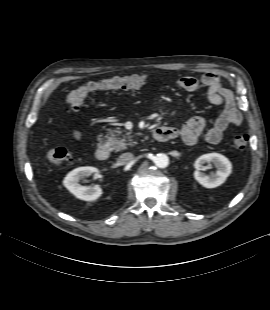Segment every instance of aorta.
Returning a JSON list of instances; mask_svg holds the SVG:
<instances>
[{
  "mask_svg": "<svg viewBox=\"0 0 270 310\" xmlns=\"http://www.w3.org/2000/svg\"><path fill=\"white\" fill-rule=\"evenodd\" d=\"M154 162L157 167L166 168L169 164V158L166 154L159 153L156 155Z\"/></svg>",
  "mask_w": 270,
  "mask_h": 310,
  "instance_id": "1",
  "label": "aorta"
}]
</instances>
